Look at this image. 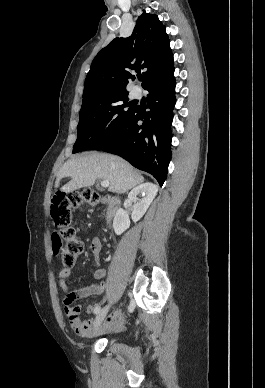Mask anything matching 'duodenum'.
Segmentation results:
<instances>
[{"label":"duodenum","mask_w":265,"mask_h":388,"mask_svg":"<svg viewBox=\"0 0 265 388\" xmlns=\"http://www.w3.org/2000/svg\"><path fill=\"white\" fill-rule=\"evenodd\" d=\"M106 217L108 220L112 219L119 209L120 203L116 198L107 199Z\"/></svg>","instance_id":"obj_1"}]
</instances>
